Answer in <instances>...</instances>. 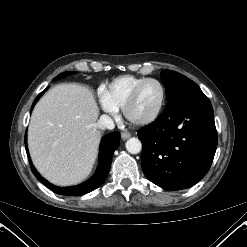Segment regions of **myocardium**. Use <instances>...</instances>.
<instances>
[{"instance_id":"f54148a6","label":"myocardium","mask_w":247,"mask_h":247,"mask_svg":"<svg viewBox=\"0 0 247 247\" xmlns=\"http://www.w3.org/2000/svg\"><path fill=\"white\" fill-rule=\"evenodd\" d=\"M150 82H154V83L158 84L161 88L162 95H161L160 104H159L157 110L154 112V114L151 115L150 117L143 119V120H138V121L132 120L129 116L130 107L135 102V100H136L140 90L142 89V87L145 86L146 84L150 83ZM166 100H167V90H166L165 85L160 80H158L156 78H146L145 80H143L142 82L137 84L134 87V89L131 91L130 95L128 96V98L126 99V101L122 107V112H123L125 118L135 125H139V126L149 125V124L155 122L160 117L161 113L163 112V110L165 108Z\"/></svg>"}]
</instances>
